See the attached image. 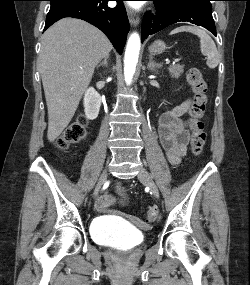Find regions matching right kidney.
<instances>
[{"label": "right kidney", "instance_id": "right-kidney-1", "mask_svg": "<svg viewBox=\"0 0 250 285\" xmlns=\"http://www.w3.org/2000/svg\"><path fill=\"white\" fill-rule=\"evenodd\" d=\"M100 106L101 96L93 87H89L84 95V111L86 118L89 120L96 119L99 114Z\"/></svg>", "mask_w": 250, "mask_h": 285}]
</instances>
